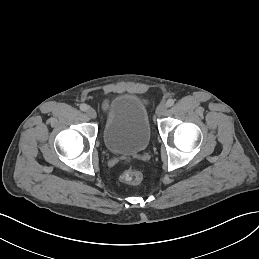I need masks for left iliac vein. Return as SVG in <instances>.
Segmentation results:
<instances>
[{"label":"left iliac vein","instance_id":"obj_1","mask_svg":"<svg viewBox=\"0 0 259 259\" xmlns=\"http://www.w3.org/2000/svg\"><path fill=\"white\" fill-rule=\"evenodd\" d=\"M167 111V105L162 103L156 109V114L158 117L163 116Z\"/></svg>","mask_w":259,"mask_h":259}]
</instances>
